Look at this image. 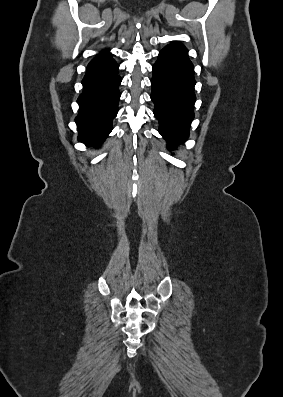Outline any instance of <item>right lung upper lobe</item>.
<instances>
[{"label":"right lung upper lobe","instance_id":"right-lung-upper-lobe-1","mask_svg":"<svg viewBox=\"0 0 283 397\" xmlns=\"http://www.w3.org/2000/svg\"><path fill=\"white\" fill-rule=\"evenodd\" d=\"M111 53L109 52L108 49L103 50L101 53H99L95 58L92 59V61L89 64L92 63H97V62H101V61H105L107 59L111 58Z\"/></svg>","mask_w":283,"mask_h":397}]
</instances>
